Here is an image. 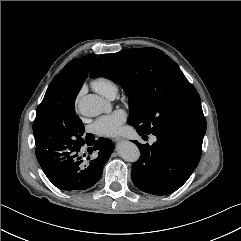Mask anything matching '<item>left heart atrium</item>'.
Listing matches in <instances>:
<instances>
[{
  "label": "left heart atrium",
  "mask_w": 241,
  "mask_h": 241,
  "mask_svg": "<svg viewBox=\"0 0 241 241\" xmlns=\"http://www.w3.org/2000/svg\"><path fill=\"white\" fill-rule=\"evenodd\" d=\"M126 119V114L122 110L104 115L98 118L92 125V130L103 136L117 135L121 130V125Z\"/></svg>",
  "instance_id": "left-heart-atrium-1"
}]
</instances>
